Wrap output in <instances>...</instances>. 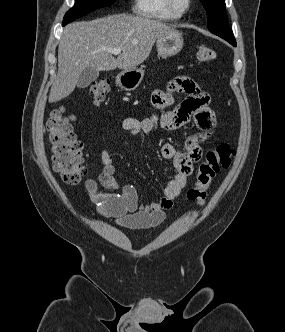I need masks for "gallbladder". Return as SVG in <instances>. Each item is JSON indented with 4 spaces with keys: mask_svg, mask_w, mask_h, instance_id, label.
Returning <instances> with one entry per match:
<instances>
[{
    "mask_svg": "<svg viewBox=\"0 0 285 332\" xmlns=\"http://www.w3.org/2000/svg\"><path fill=\"white\" fill-rule=\"evenodd\" d=\"M99 77V71L93 68L85 69L77 82V87L82 89L88 87L93 81Z\"/></svg>",
    "mask_w": 285,
    "mask_h": 332,
    "instance_id": "gallbladder-1",
    "label": "gallbladder"
}]
</instances>
